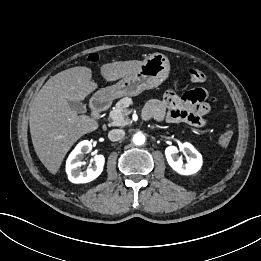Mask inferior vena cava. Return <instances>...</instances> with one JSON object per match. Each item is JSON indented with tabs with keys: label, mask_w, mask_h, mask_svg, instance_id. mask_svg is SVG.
<instances>
[{
	"label": "inferior vena cava",
	"mask_w": 261,
	"mask_h": 261,
	"mask_svg": "<svg viewBox=\"0 0 261 261\" xmlns=\"http://www.w3.org/2000/svg\"><path fill=\"white\" fill-rule=\"evenodd\" d=\"M124 136H125V131L122 129H113L108 133L109 140L113 142L122 140Z\"/></svg>",
	"instance_id": "obj_1"
}]
</instances>
